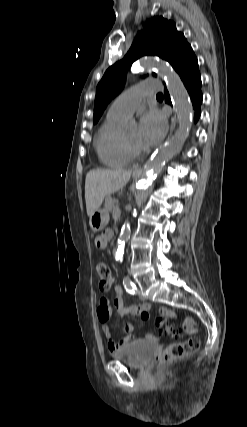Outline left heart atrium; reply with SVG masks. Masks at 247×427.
I'll list each match as a JSON object with an SVG mask.
<instances>
[{
	"label": "left heart atrium",
	"mask_w": 247,
	"mask_h": 427,
	"mask_svg": "<svg viewBox=\"0 0 247 427\" xmlns=\"http://www.w3.org/2000/svg\"><path fill=\"white\" fill-rule=\"evenodd\" d=\"M167 131L165 117L157 110L146 112L140 120L138 129L139 144L143 149L158 144Z\"/></svg>",
	"instance_id": "obj_1"
}]
</instances>
